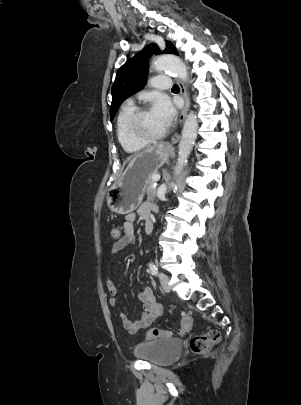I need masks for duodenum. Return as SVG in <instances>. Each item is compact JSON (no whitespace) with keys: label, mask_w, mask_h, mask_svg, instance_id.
<instances>
[{"label":"duodenum","mask_w":301,"mask_h":405,"mask_svg":"<svg viewBox=\"0 0 301 405\" xmlns=\"http://www.w3.org/2000/svg\"><path fill=\"white\" fill-rule=\"evenodd\" d=\"M153 230V222L151 219L145 221V233L150 234Z\"/></svg>","instance_id":"obj_1"}]
</instances>
